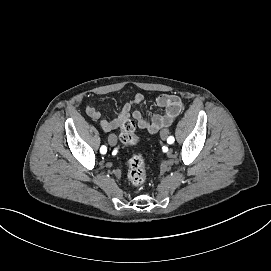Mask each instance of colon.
<instances>
[{"instance_id":"colon-1","label":"colon","mask_w":271,"mask_h":271,"mask_svg":"<svg viewBox=\"0 0 271 271\" xmlns=\"http://www.w3.org/2000/svg\"><path fill=\"white\" fill-rule=\"evenodd\" d=\"M120 140L126 146L137 144L139 138L133 120L128 119L122 124ZM127 176L134 186L140 187L144 185L146 181L145 159L140 153L133 154L129 159Z\"/></svg>"}]
</instances>
